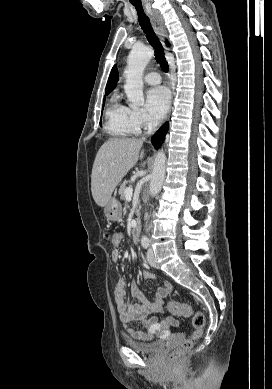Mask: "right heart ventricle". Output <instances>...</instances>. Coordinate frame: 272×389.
I'll list each match as a JSON object with an SVG mask.
<instances>
[{"label": "right heart ventricle", "instance_id": "1", "mask_svg": "<svg viewBox=\"0 0 272 389\" xmlns=\"http://www.w3.org/2000/svg\"><path fill=\"white\" fill-rule=\"evenodd\" d=\"M105 128L114 137H126L138 133L139 129L132 117V108L122 103L118 93H115L109 101Z\"/></svg>", "mask_w": 272, "mask_h": 389}]
</instances>
